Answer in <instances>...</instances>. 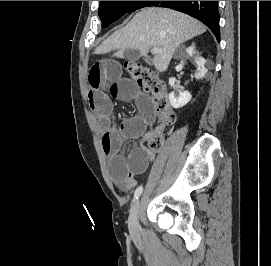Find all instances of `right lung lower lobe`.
Masks as SVG:
<instances>
[{"instance_id": "1", "label": "right lung lower lobe", "mask_w": 271, "mask_h": 266, "mask_svg": "<svg viewBox=\"0 0 271 266\" xmlns=\"http://www.w3.org/2000/svg\"><path fill=\"white\" fill-rule=\"evenodd\" d=\"M150 6L167 7L188 14L208 26L220 41L217 1H153Z\"/></svg>"}]
</instances>
